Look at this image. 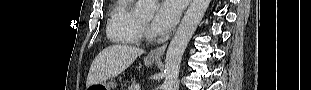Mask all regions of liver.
<instances>
[{"label": "liver", "instance_id": "obj_1", "mask_svg": "<svg viewBox=\"0 0 311 90\" xmlns=\"http://www.w3.org/2000/svg\"><path fill=\"white\" fill-rule=\"evenodd\" d=\"M143 53L144 50L131 45H112L105 48L90 66L86 87L119 75Z\"/></svg>", "mask_w": 311, "mask_h": 90}]
</instances>
